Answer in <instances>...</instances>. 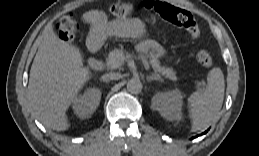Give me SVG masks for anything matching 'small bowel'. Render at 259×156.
<instances>
[{
    "label": "small bowel",
    "instance_id": "c3829d8e",
    "mask_svg": "<svg viewBox=\"0 0 259 156\" xmlns=\"http://www.w3.org/2000/svg\"><path fill=\"white\" fill-rule=\"evenodd\" d=\"M83 20L91 27L89 44H99L107 37H140L146 32L145 23L138 18L108 20L99 10H90L83 15ZM155 50L162 54L163 50L152 44Z\"/></svg>",
    "mask_w": 259,
    "mask_h": 156
}]
</instances>
